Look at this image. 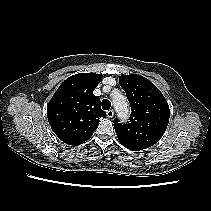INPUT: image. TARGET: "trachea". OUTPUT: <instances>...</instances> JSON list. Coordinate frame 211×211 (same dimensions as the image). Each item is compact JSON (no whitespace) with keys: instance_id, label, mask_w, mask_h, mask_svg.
<instances>
[{"instance_id":"1","label":"trachea","mask_w":211,"mask_h":211,"mask_svg":"<svg viewBox=\"0 0 211 211\" xmlns=\"http://www.w3.org/2000/svg\"><path fill=\"white\" fill-rule=\"evenodd\" d=\"M101 104L104 110H109L111 107V102L108 99H104Z\"/></svg>"}]
</instances>
